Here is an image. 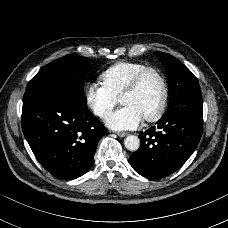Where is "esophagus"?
Returning <instances> with one entry per match:
<instances>
[{
	"mask_svg": "<svg viewBox=\"0 0 228 228\" xmlns=\"http://www.w3.org/2000/svg\"><path fill=\"white\" fill-rule=\"evenodd\" d=\"M117 136L119 137H125L127 135L126 132H122V131H119V132H116Z\"/></svg>",
	"mask_w": 228,
	"mask_h": 228,
	"instance_id": "34e87169",
	"label": "esophagus"
}]
</instances>
